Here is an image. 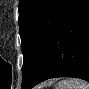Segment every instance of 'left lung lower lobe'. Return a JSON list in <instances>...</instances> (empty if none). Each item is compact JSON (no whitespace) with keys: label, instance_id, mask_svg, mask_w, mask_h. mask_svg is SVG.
<instances>
[{"label":"left lung lower lobe","instance_id":"0a47b994","mask_svg":"<svg viewBox=\"0 0 89 89\" xmlns=\"http://www.w3.org/2000/svg\"><path fill=\"white\" fill-rule=\"evenodd\" d=\"M57 77L89 81V0H72L34 78L25 89Z\"/></svg>","mask_w":89,"mask_h":89}]
</instances>
